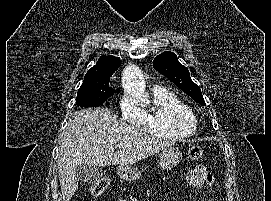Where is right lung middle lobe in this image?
Wrapping results in <instances>:
<instances>
[{
	"label": "right lung middle lobe",
	"instance_id": "dd1d6c3e",
	"mask_svg": "<svg viewBox=\"0 0 271 201\" xmlns=\"http://www.w3.org/2000/svg\"><path fill=\"white\" fill-rule=\"evenodd\" d=\"M110 75L84 78L77 92L76 104L81 107H95L102 105L114 94L109 86Z\"/></svg>",
	"mask_w": 271,
	"mask_h": 201
}]
</instances>
